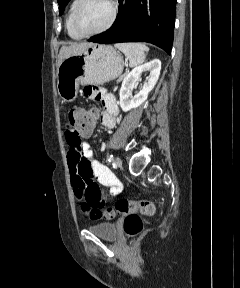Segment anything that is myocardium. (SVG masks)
<instances>
[{
    "label": "myocardium",
    "mask_w": 240,
    "mask_h": 288,
    "mask_svg": "<svg viewBox=\"0 0 240 288\" xmlns=\"http://www.w3.org/2000/svg\"><path fill=\"white\" fill-rule=\"evenodd\" d=\"M86 2H87V0H79L78 4L75 7V10H74L73 16H72L73 29L82 37H90V36L98 35V34H101L105 31H107L113 25V23L116 19V16H117V3L115 2V0H109L110 6H111V13H110V16H109L107 22L105 23V25L102 26L101 28H99L98 30H95L92 32H83L78 26V16H79V13H80L83 5Z\"/></svg>",
    "instance_id": "f54148a6"
}]
</instances>
